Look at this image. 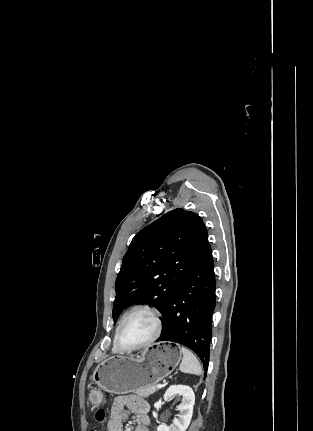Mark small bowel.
I'll return each mask as SVG.
<instances>
[{
	"instance_id": "small-bowel-1",
	"label": "small bowel",
	"mask_w": 313,
	"mask_h": 431,
	"mask_svg": "<svg viewBox=\"0 0 313 431\" xmlns=\"http://www.w3.org/2000/svg\"><path fill=\"white\" fill-rule=\"evenodd\" d=\"M128 410L135 413L139 425L135 431H149V405L143 399L134 395L119 396L114 400L112 412L108 421V431H125L123 422L128 416Z\"/></svg>"
}]
</instances>
